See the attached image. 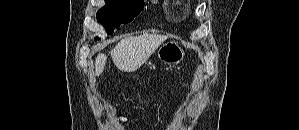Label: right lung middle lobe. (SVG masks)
I'll use <instances>...</instances> for the list:
<instances>
[{
	"label": "right lung middle lobe",
	"instance_id": "right-lung-middle-lobe-1",
	"mask_svg": "<svg viewBox=\"0 0 299 130\" xmlns=\"http://www.w3.org/2000/svg\"><path fill=\"white\" fill-rule=\"evenodd\" d=\"M144 2L106 0V5L97 12V21L104 25L108 34L120 24L131 22L142 9Z\"/></svg>",
	"mask_w": 299,
	"mask_h": 130
}]
</instances>
